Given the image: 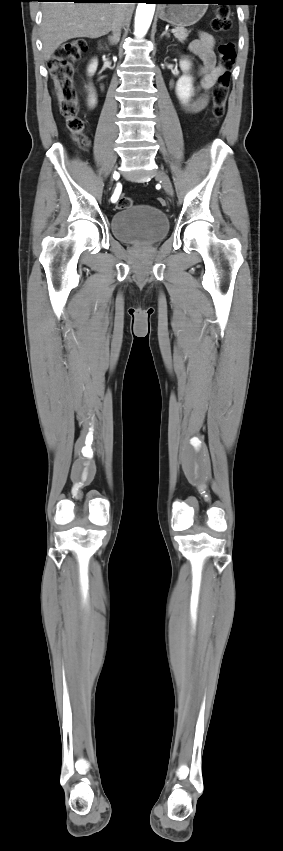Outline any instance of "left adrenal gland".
<instances>
[{
  "label": "left adrenal gland",
  "mask_w": 283,
  "mask_h": 851,
  "mask_svg": "<svg viewBox=\"0 0 283 851\" xmlns=\"http://www.w3.org/2000/svg\"><path fill=\"white\" fill-rule=\"evenodd\" d=\"M164 35H166L167 37H169V33H168L167 31H163V32H162V34H161V38H162Z\"/></svg>",
  "instance_id": "left-adrenal-gland-1"
}]
</instances>
